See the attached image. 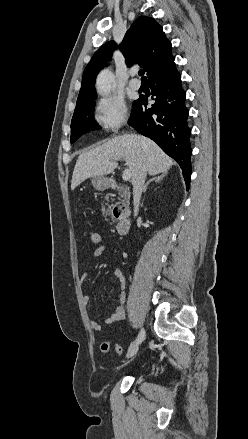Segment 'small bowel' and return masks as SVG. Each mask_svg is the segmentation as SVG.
<instances>
[{
    "mask_svg": "<svg viewBox=\"0 0 248 439\" xmlns=\"http://www.w3.org/2000/svg\"><path fill=\"white\" fill-rule=\"evenodd\" d=\"M105 251V247L103 245L98 246L92 253V257L93 258H97L100 257L101 255H103ZM87 277V272L85 271L82 274L81 280L84 281ZM113 277L114 279L120 284V288H121V294H120V304L117 307V309L105 320L106 324H114L117 322H120L122 320L125 319V310H124V302H125V293H124V289H125V277L123 272L120 269H115L113 271ZM84 302L86 304L89 303L90 301V297L89 296H85L84 298ZM90 326L93 330L95 331H100L102 329V324L95 321V320H90Z\"/></svg>",
    "mask_w": 248,
    "mask_h": 439,
    "instance_id": "1",
    "label": "small bowel"
}]
</instances>
